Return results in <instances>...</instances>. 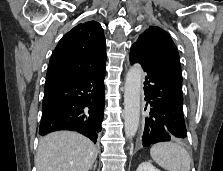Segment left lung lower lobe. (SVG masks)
<instances>
[{
  "label": "left lung lower lobe",
  "mask_w": 223,
  "mask_h": 171,
  "mask_svg": "<svg viewBox=\"0 0 223 171\" xmlns=\"http://www.w3.org/2000/svg\"><path fill=\"white\" fill-rule=\"evenodd\" d=\"M130 62L139 63L146 73L144 95L148 107L140 136L142 145L186 138L182 77L137 45L131 47Z\"/></svg>",
  "instance_id": "1"
}]
</instances>
